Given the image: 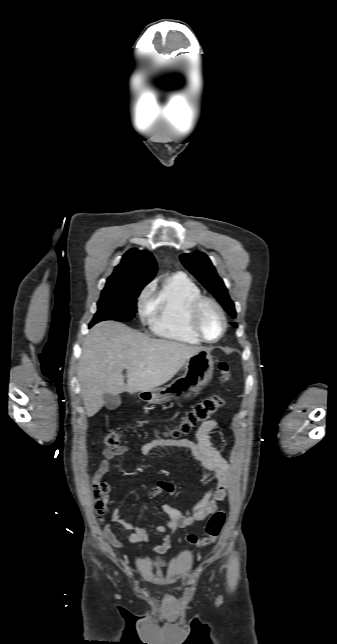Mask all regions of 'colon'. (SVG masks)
Here are the masks:
<instances>
[{
  "label": "colon",
  "mask_w": 337,
  "mask_h": 644,
  "mask_svg": "<svg viewBox=\"0 0 337 644\" xmlns=\"http://www.w3.org/2000/svg\"><path fill=\"white\" fill-rule=\"evenodd\" d=\"M222 381L228 382L231 378V367L227 362L219 364ZM223 405V399L220 396H212L204 401L196 404L194 408L189 411L179 423L170 431L172 437H180L191 432L199 424L209 420ZM104 444L107 449H115L120 444V435L116 431L109 432L104 438ZM93 493L97 499L96 510L99 516H104L107 510V493L108 486L105 482L96 481L93 484ZM225 521V512L217 511L209 518L205 525L204 535L198 538L195 535H188L187 540L189 543L199 546H206L213 543L223 527Z\"/></svg>",
  "instance_id": "5ec220e1"
}]
</instances>
